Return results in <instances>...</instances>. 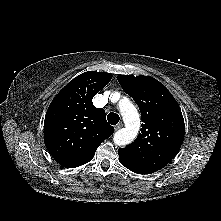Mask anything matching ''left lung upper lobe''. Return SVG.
<instances>
[{"label": "left lung upper lobe", "instance_id": "left-lung-upper-lobe-1", "mask_svg": "<svg viewBox=\"0 0 221 221\" xmlns=\"http://www.w3.org/2000/svg\"><path fill=\"white\" fill-rule=\"evenodd\" d=\"M123 90L139 106L141 133L118 154L154 171L168 164L179 151L184 139V119L172 94L150 76L120 75Z\"/></svg>", "mask_w": 221, "mask_h": 221}]
</instances>
